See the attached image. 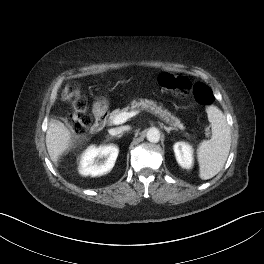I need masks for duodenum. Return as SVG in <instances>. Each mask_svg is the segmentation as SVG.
<instances>
[{
  "mask_svg": "<svg viewBox=\"0 0 264 264\" xmlns=\"http://www.w3.org/2000/svg\"><path fill=\"white\" fill-rule=\"evenodd\" d=\"M94 123L92 124V131L97 132L101 130L105 124L106 110L100 105L97 104L93 108Z\"/></svg>",
  "mask_w": 264,
  "mask_h": 264,
  "instance_id": "410a0bca",
  "label": "duodenum"
}]
</instances>
